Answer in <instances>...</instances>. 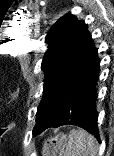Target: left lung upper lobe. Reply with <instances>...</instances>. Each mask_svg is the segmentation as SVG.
Masks as SVG:
<instances>
[{
	"instance_id": "obj_1",
	"label": "left lung upper lobe",
	"mask_w": 114,
	"mask_h": 156,
	"mask_svg": "<svg viewBox=\"0 0 114 156\" xmlns=\"http://www.w3.org/2000/svg\"><path fill=\"white\" fill-rule=\"evenodd\" d=\"M90 39L84 21H77L70 13L60 18L48 32V50L42 61L45 73L43 97L34 130L46 125L59 110L67 83Z\"/></svg>"
}]
</instances>
